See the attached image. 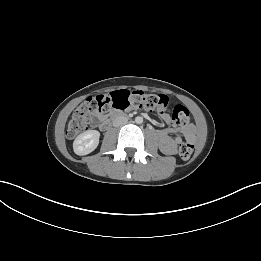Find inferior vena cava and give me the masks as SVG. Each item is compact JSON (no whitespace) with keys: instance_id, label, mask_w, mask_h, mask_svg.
<instances>
[{"instance_id":"602c4592","label":"inferior vena cava","mask_w":261,"mask_h":261,"mask_svg":"<svg viewBox=\"0 0 261 261\" xmlns=\"http://www.w3.org/2000/svg\"><path fill=\"white\" fill-rule=\"evenodd\" d=\"M127 121H128L127 117L119 116L114 119L113 126L118 127V126L124 125L127 123Z\"/></svg>"}]
</instances>
